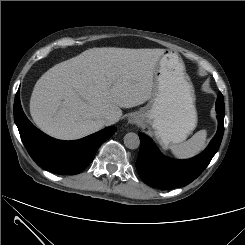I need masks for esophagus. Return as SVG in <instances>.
<instances>
[{
	"instance_id": "esophagus-1",
	"label": "esophagus",
	"mask_w": 245,
	"mask_h": 245,
	"mask_svg": "<svg viewBox=\"0 0 245 245\" xmlns=\"http://www.w3.org/2000/svg\"><path fill=\"white\" fill-rule=\"evenodd\" d=\"M129 123L131 124H137L140 122V120L136 116H132L128 119Z\"/></svg>"
}]
</instances>
